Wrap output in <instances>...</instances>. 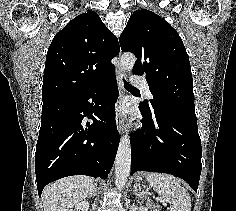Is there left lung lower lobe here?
<instances>
[{"label":"left lung lower lobe","mask_w":236,"mask_h":211,"mask_svg":"<svg viewBox=\"0 0 236 211\" xmlns=\"http://www.w3.org/2000/svg\"><path fill=\"white\" fill-rule=\"evenodd\" d=\"M139 109L144 130L131 135V175L138 170L172 174L197 192L202 152L196 117Z\"/></svg>","instance_id":"left-lung-lower-lobe-1"}]
</instances>
